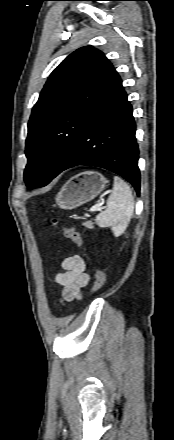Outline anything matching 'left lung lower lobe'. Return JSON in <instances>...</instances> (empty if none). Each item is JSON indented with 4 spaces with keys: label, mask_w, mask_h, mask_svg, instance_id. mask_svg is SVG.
<instances>
[{
    "label": "left lung lower lobe",
    "mask_w": 174,
    "mask_h": 440,
    "mask_svg": "<svg viewBox=\"0 0 174 440\" xmlns=\"http://www.w3.org/2000/svg\"><path fill=\"white\" fill-rule=\"evenodd\" d=\"M132 106L118 73L84 123L77 147L60 172L78 165L108 169L140 192L139 149Z\"/></svg>",
    "instance_id": "1"
}]
</instances>
